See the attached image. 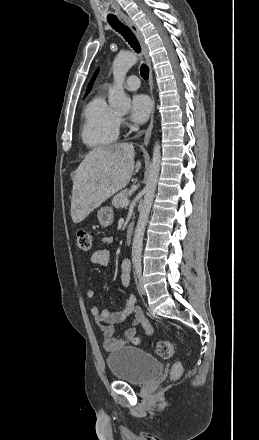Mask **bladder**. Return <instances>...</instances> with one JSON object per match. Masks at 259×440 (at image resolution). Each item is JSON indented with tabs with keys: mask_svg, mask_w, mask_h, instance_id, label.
Listing matches in <instances>:
<instances>
[{
	"mask_svg": "<svg viewBox=\"0 0 259 440\" xmlns=\"http://www.w3.org/2000/svg\"><path fill=\"white\" fill-rule=\"evenodd\" d=\"M107 363L115 379L135 385L150 382L164 369L159 359L133 346L114 349L107 356Z\"/></svg>",
	"mask_w": 259,
	"mask_h": 440,
	"instance_id": "1",
	"label": "bladder"
}]
</instances>
